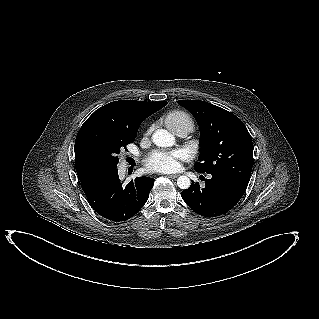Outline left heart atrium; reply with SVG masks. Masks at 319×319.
I'll return each mask as SVG.
<instances>
[{
  "label": "left heart atrium",
  "mask_w": 319,
  "mask_h": 319,
  "mask_svg": "<svg viewBox=\"0 0 319 319\" xmlns=\"http://www.w3.org/2000/svg\"><path fill=\"white\" fill-rule=\"evenodd\" d=\"M181 158L180 151H154L145 158L144 165L150 172H172L178 168Z\"/></svg>",
  "instance_id": "obj_1"
}]
</instances>
